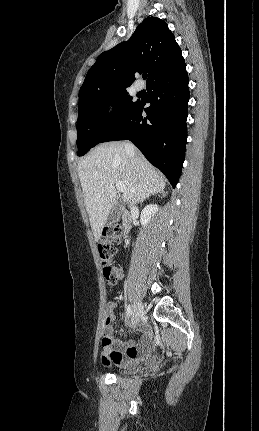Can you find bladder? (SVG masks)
<instances>
[{"label":"bladder","instance_id":"bladder-1","mask_svg":"<svg viewBox=\"0 0 259 431\" xmlns=\"http://www.w3.org/2000/svg\"><path fill=\"white\" fill-rule=\"evenodd\" d=\"M137 370V367H131V368H126V369H122L119 373L120 374H130L133 373Z\"/></svg>","mask_w":259,"mask_h":431}]
</instances>
